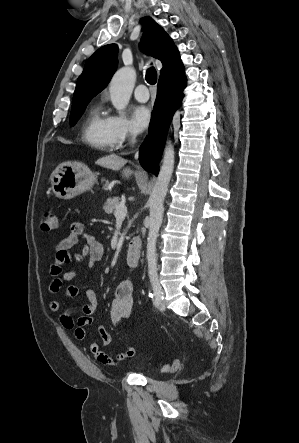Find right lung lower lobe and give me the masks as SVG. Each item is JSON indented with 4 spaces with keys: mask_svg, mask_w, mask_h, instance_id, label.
Returning <instances> with one entry per match:
<instances>
[{
    "mask_svg": "<svg viewBox=\"0 0 299 443\" xmlns=\"http://www.w3.org/2000/svg\"><path fill=\"white\" fill-rule=\"evenodd\" d=\"M186 86L184 72L162 77L158 82L157 98L149 126V136L140 148L139 160L144 169L158 175V161L161 158L168 128L175 110L183 98Z\"/></svg>",
    "mask_w": 299,
    "mask_h": 443,
    "instance_id": "98d812e1",
    "label": "right lung lower lobe"
}]
</instances>
